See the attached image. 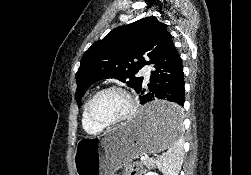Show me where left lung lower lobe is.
<instances>
[{"instance_id": "left-lung-lower-lobe-1", "label": "left lung lower lobe", "mask_w": 251, "mask_h": 175, "mask_svg": "<svg viewBox=\"0 0 251 175\" xmlns=\"http://www.w3.org/2000/svg\"><path fill=\"white\" fill-rule=\"evenodd\" d=\"M155 70L151 71L149 90L140 89L141 104L162 99L173 104H164L142 112L141 120L151 124H174L182 119L184 105L183 66L172 36L168 37L160 53L152 61Z\"/></svg>"}]
</instances>
